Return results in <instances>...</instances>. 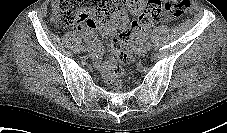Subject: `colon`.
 <instances>
[{
	"label": "colon",
	"mask_w": 227,
	"mask_h": 133,
	"mask_svg": "<svg viewBox=\"0 0 227 133\" xmlns=\"http://www.w3.org/2000/svg\"><path fill=\"white\" fill-rule=\"evenodd\" d=\"M129 0H53L52 19L59 27L73 24L93 28L96 22H104L113 12L126 5ZM190 0H148L145 5H135L138 18L131 29L112 43V50L121 64L133 59V44L139 34L159 21L163 15L182 16L190 8ZM123 68L115 62H109L104 70L105 82L119 88L122 84Z\"/></svg>",
	"instance_id": "5ec220e1"
}]
</instances>
